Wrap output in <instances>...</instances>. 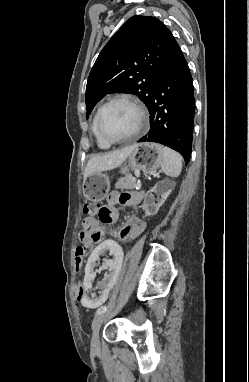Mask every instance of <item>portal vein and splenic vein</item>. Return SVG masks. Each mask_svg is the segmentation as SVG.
I'll return each mask as SVG.
<instances>
[{
    "mask_svg": "<svg viewBox=\"0 0 249 382\" xmlns=\"http://www.w3.org/2000/svg\"><path fill=\"white\" fill-rule=\"evenodd\" d=\"M132 181H136V179L133 177V178H132Z\"/></svg>",
    "mask_w": 249,
    "mask_h": 382,
    "instance_id": "1",
    "label": "portal vein and splenic vein"
}]
</instances>
